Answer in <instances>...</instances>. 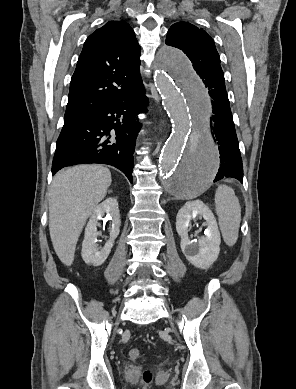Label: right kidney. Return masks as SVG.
Wrapping results in <instances>:
<instances>
[{
	"mask_svg": "<svg viewBox=\"0 0 296 389\" xmlns=\"http://www.w3.org/2000/svg\"><path fill=\"white\" fill-rule=\"evenodd\" d=\"M106 220H111L112 225L110 228V237L103 248L98 247L97 237L101 234L97 231L99 221L102 217ZM120 213L118 208L117 199L109 197L101 204L97 205L90 216L89 222L85 228V236L82 243V258L85 263L100 266L109 256L114 244V240L117 238L120 232Z\"/></svg>",
	"mask_w": 296,
	"mask_h": 389,
	"instance_id": "1",
	"label": "right kidney"
}]
</instances>
